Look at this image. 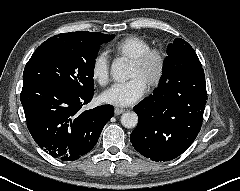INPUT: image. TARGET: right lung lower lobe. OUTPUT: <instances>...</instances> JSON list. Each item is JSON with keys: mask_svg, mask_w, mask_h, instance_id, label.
<instances>
[{"mask_svg": "<svg viewBox=\"0 0 240 191\" xmlns=\"http://www.w3.org/2000/svg\"><path fill=\"white\" fill-rule=\"evenodd\" d=\"M93 92L74 94L49 84H23L20 100L35 142L52 157L73 161L97 143L114 109L103 105L82 111Z\"/></svg>", "mask_w": 240, "mask_h": 191, "instance_id": "right-lung-lower-lobe-1", "label": "right lung lower lobe"}]
</instances>
